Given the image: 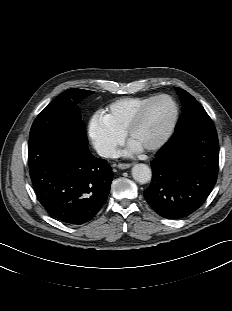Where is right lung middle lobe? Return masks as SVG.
I'll use <instances>...</instances> for the list:
<instances>
[{"mask_svg": "<svg viewBox=\"0 0 232 311\" xmlns=\"http://www.w3.org/2000/svg\"><path fill=\"white\" fill-rule=\"evenodd\" d=\"M93 91L72 88L61 93L36 117L30 138L52 131H69L87 143L85 125L77 103Z\"/></svg>", "mask_w": 232, "mask_h": 311, "instance_id": "right-lung-middle-lobe-1", "label": "right lung middle lobe"}]
</instances>
